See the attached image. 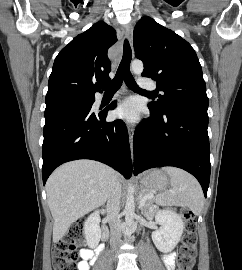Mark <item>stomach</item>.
Here are the masks:
<instances>
[{
  "label": "stomach",
  "mask_w": 242,
  "mask_h": 270,
  "mask_svg": "<svg viewBox=\"0 0 242 270\" xmlns=\"http://www.w3.org/2000/svg\"><path fill=\"white\" fill-rule=\"evenodd\" d=\"M143 191L155 193L156 191L163 190L168 185V177L161 170H153L146 174L141 180Z\"/></svg>",
  "instance_id": "0dacf381"
}]
</instances>
